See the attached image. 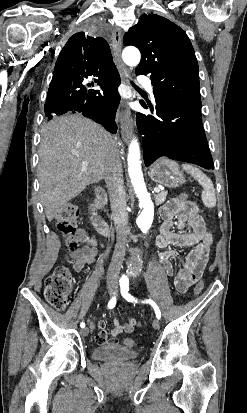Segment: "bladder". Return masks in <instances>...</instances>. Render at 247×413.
Returning <instances> with one entry per match:
<instances>
[{
	"instance_id": "1",
	"label": "bladder",
	"mask_w": 247,
	"mask_h": 413,
	"mask_svg": "<svg viewBox=\"0 0 247 413\" xmlns=\"http://www.w3.org/2000/svg\"><path fill=\"white\" fill-rule=\"evenodd\" d=\"M93 357L94 360H112V361H121V360H132L135 359L138 355L137 352L132 351L129 348L122 346H102L93 348Z\"/></svg>"
}]
</instances>
